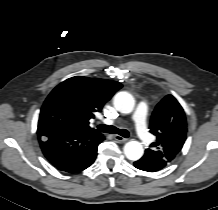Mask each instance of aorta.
Listing matches in <instances>:
<instances>
[{
	"label": "aorta",
	"instance_id": "1",
	"mask_svg": "<svg viewBox=\"0 0 218 210\" xmlns=\"http://www.w3.org/2000/svg\"><path fill=\"white\" fill-rule=\"evenodd\" d=\"M114 105L119 112L129 114L134 109L135 100L130 93L119 92L114 97ZM143 153V146L138 141H129L124 146V154L129 160L137 161L143 156Z\"/></svg>",
	"mask_w": 218,
	"mask_h": 210
}]
</instances>
